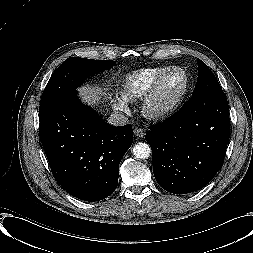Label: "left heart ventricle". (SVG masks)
Returning a JSON list of instances; mask_svg holds the SVG:
<instances>
[{
    "label": "left heart ventricle",
    "instance_id": "left-heart-ventricle-1",
    "mask_svg": "<svg viewBox=\"0 0 253 253\" xmlns=\"http://www.w3.org/2000/svg\"><path fill=\"white\" fill-rule=\"evenodd\" d=\"M184 86V76L182 72L175 70L170 72L162 81L156 98L159 106L169 105L181 92Z\"/></svg>",
    "mask_w": 253,
    "mask_h": 253
}]
</instances>
